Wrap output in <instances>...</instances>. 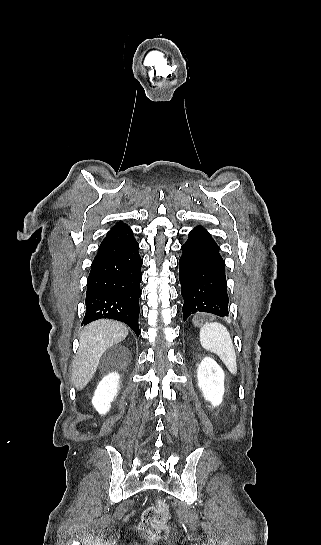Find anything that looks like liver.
Segmentation results:
<instances>
[{"label": "liver", "mask_w": 321, "mask_h": 545, "mask_svg": "<svg viewBox=\"0 0 321 545\" xmlns=\"http://www.w3.org/2000/svg\"><path fill=\"white\" fill-rule=\"evenodd\" d=\"M128 329L117 321H94L80 335L79 349L72 365L71 379L78 391L84 389L97 371L100 359L110 347L124 341Z\"/></svg>", "instance_id": "obj_1"}]
</instances>
